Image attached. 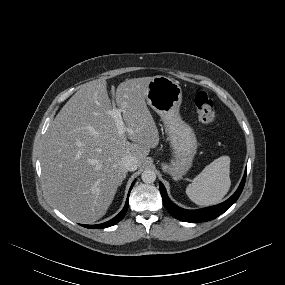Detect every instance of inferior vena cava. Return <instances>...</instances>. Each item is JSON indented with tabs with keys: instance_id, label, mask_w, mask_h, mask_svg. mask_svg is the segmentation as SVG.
<instances>
[{
	"instance_id": "inferior-vena-cava-1",
	"label": "inferior vena cava",
	"mask_w": 285,
	"mask_h": 285,
	"mask_svg": "<svg viewBox=\"0 0 285 285\" xmlns=\"http://www.w3.org/2000/svg\"><path fill=\"white\" fill-rule=\"evenodd\" d=\"M121 165L127 171H135L138 168V160L133 155H126L121 159Z\"/></svg>"
}]
</instances>
